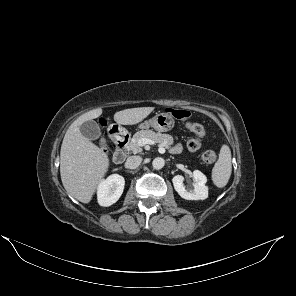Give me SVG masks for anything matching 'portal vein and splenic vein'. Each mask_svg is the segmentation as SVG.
Segmentation results:
<instances>
[{"instance_id":"1","label":"portal vein and splenic vein","mask_w":296,"mask_h":296,"mask_svg":"<svg viewBox=\"0 0 296 296\" xmlns=\"http://www.w3.org/2000/svg\"><path fill=\"white\" fill-rule=\"evenodd\" d=\"M139 144L141 145V146H144V145H146V144H154V142L151 140V139H148V138H142V139H140L139 140ZM159 152L160 153H165V148H163V147H159Z\"/></svg>"}]
</instances>
